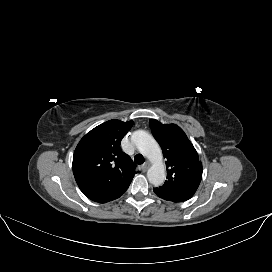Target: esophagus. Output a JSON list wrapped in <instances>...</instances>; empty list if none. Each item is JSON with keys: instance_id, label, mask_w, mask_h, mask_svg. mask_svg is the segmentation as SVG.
I'll return each instance as SVG.
<instances>
[{"instance_id": "esophagus-1", "label": "esophagus", "mask_w": 272, "mask_h": 272, "mask_svg": "<svg viewBox=\"0 0 272 272\" xmlns=\"http://www.w3.org/2000/svg\"><path fill=\"white\" fill-rule=\"evenodd\" d=\"M149 167H150V163H149V162H145V163L142 165V169H143L144 171H146Z\"/></svg>"}]
</instances>
